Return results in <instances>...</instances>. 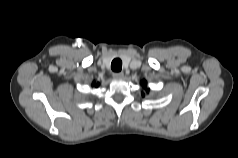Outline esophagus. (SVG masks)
<instances>
[{
  "instance_id": "1",
  "label": "esophagus",
  "mask_w": 238,
  "mask_h": 158,
  "mask_svg": "<svg viewBox=\"0 0 238 158\" xmlns=\"http://www.w3.org/2000/svg\"><path fill=\"white\" fill-rule=\"evenodd\" d=\"M123 76H124L123 72L113 73V77L116 78V79H121V78H123Z\"/></svg>"
}]
</instances>
